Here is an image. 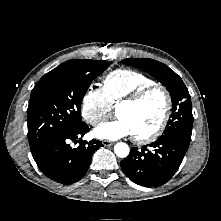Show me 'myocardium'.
Listing matches in <instances>:
<instances>
[{"mask_svg":"<svg viewBox=\"0 0 221 221\" xmlns=\"http://www.w3.org/2000/svg\"><path fill=\"white\" fill-rule=\"evenodd\" d=\"M154 91H160L163 93L164 97H165V110H164V114L162 116V119L160 121V123L158 124V126L151 131L148 134L145 135H133V139L135 142L140 143V144H146V143H151L153 141H155L157 138H159L162 133L164 132L168 121L170 119L171 116V112H172V105H173V100H172V96L170 91L161 84H152L146 87H143L141 89H139L138 91H136L135 93H133L132 95L120 100L116 105H115V110L120 107V106H124V105H130V106H135L138 105L139 103H141L150 93L154 92Z\"/></svg>","mask_w":221,"mask_h":221,"instance_id":"f54148a6","label":"myocardium"}]
</instances>
